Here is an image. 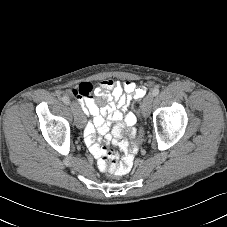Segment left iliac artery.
<instances>
[{"label":"left iliac artery","instance_id":"obj_1","mask_svg":"<svg viewBox=\"0 0 227 227\" xmlns=\"http://www.w3.org/2000/svg\"><path fill=\"white\" fill-rule=\"evenodd\" d=\"M159 92H160L159 88H154L152 91V94H153V96H156L159 94Z\"/></svg>","mask_w":227,"mask_h":227}]
</instances>
